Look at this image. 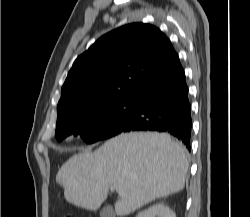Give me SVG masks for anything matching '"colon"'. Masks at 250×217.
<instances>
[{"mask_svg":"<svg viewBox=\"0 0 250 217\" xmlns=\"http://www.w3.org/2000/svg\"><path fill=\"white\" fill-rule=\"evenodd\" d=\"M64 217H75L73 214H67Z\"/></svg>","mask_w":250,"mask_h":217,"instance_id":"1","label":"colon"}]
</instances>
